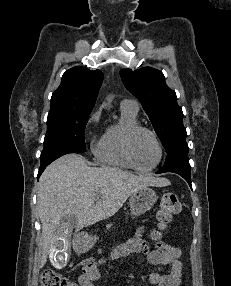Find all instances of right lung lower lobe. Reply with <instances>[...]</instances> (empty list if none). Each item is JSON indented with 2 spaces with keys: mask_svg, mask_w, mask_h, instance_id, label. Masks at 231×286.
Returning a JSON list of instances; mask_svg holds the SVG:
<instances>
[{
  "mask_svg": "<svg viewBox=\"0 0 231 286\" xmlns=\"http://www.w3.org/2000/svg\"><path fill=\"white\" fill-rule=\"evenodd\" d=\"M68 153H79V152H76V151H73V150H66V151H62V152H57V153H54L53 155L45 158V159H42L41 160V165H40V169H39V172H38V176L37 178L39 179L40 175L42 174V172L45 170V168L51 163L53 162L54 160H56L57 158L65 155V154H68Z\"/></svg>",
  "mask_w": 231,
  "mask_h": 286,
  "instance_id": "obj_1",
  "label": "right lung lower lobe"
}]
</instances>
